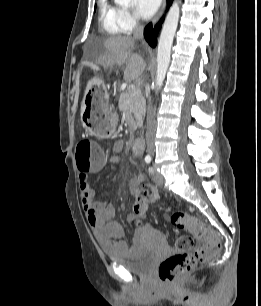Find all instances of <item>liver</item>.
<instances>
[{
    "label": "liver",
    "instance_id": "liver-1",
    "mask_svg": "<svg viewBox=\"0 0 261 306\" xmlns=\"http://www.w3.org/2000/svg\"><path fill=\"white\" fill-rule=\"evenodd\" d=\"M135 39L129 36H114L102 41L104 55L98 63L106 66L125 65L124 79L127 82L138 79L144 72L146 63L143 57L137 53H132Z\"/></svg>",
    "mask_w": 261,
    "mask_h": 306
}]
</instances>
